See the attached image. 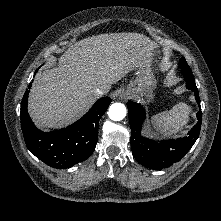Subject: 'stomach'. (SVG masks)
<instances>
[{"label":"stomach","instance_id":"obj_1","mask_svg":"<svg viewBox=\"0 0 221 221\" xmlns=\"http://www.w3.org/2000/svg\"><path fill=\"white\" fill-rule=\"evenodd\" d=\"M135 75L136 77L131 80L124 90V94L129 97L145 95L148 99H152V91L156 87V80L151 66L139 68Z\"/></svg>","mask_w":221,"mask_h":221}]
</instances>
